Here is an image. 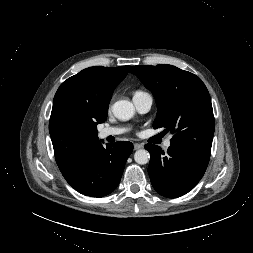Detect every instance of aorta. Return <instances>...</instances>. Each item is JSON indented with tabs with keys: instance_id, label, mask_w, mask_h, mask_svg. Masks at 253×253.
<instances>
[{
	"instance_id": "aorta-1",
	"label": "aorta",
	"mask_w": 253,
	"mask_h": 253,
	"mask_svg": "<svg viewBox=\"0 0 253 253\" xmlns=\"http://www.w3.org/2000/svg\"><path fill=\"white\" fill-rule=\"evenodd\" d=\"M114 116L119 120H129L135 112L133 103L128 100L116 101L112 106ZM150 154L145 149L137 150L134 154L136 163L144 165L149 162Z\"/></svg>"
}]
</instances>
